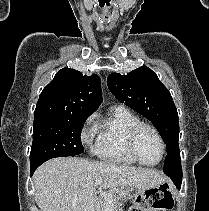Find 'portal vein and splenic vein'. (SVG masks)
Returning <instances> with one entry per match:
<instances>
[{
	"label": "portal vein and splenic vein",
	"instance_id": "18ae733b",
	"mask_svg": "<svg viewBox=\"0 0 209 211\" xmlns=\"http://www.w3.org/2000/svg\"><path fill=\"white\" fill-rule=\"evenodd\" d=\"M101 183H102V180H101V179H97V180L95 181V185H96V186L100 185ZM104 198H105V200L108 201L109 203L112 202V201H111L112 195H111L109 192H105V193H104Z\"/></svg>",
	"mask_w": 209,
	"mask_h": 211
}]
</instances>
